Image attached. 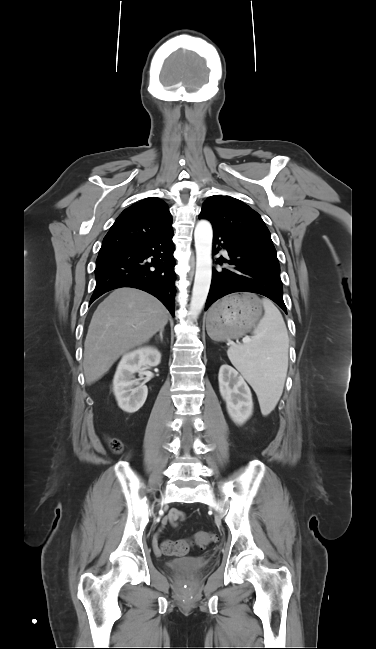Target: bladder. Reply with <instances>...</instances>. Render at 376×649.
<instances>
[{"instance_id":"31cf9c89","label":"bladder","mask_w":376,"mask_h":649,"mask_svg":"<svg viewBox=\"0 0 376 649\" xmlns=\"http://www.w3.org/2000/svg\"><path fill=\"white\" fill-rule=\"evenodd\" d=\"M207 565L208 562L206 560L194 559V558H182V559H177L168 562L166 564V567L170 569H183L191 573H198L204 568H206Z\"/></svg>"}]
</instances>
